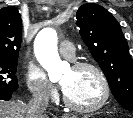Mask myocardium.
<instances>
[{
    "label": "myocardium",
    "instance_id": "obj_1",
    "mask_svg": "<svg viewBox=\"0 0 133 118\" xmlns=\"http://www.w3.org/2000/svg\"><path fill=\"white\" fill-rule=\"evenodd\" d=\"M72 68L75 70L90 69V70L94 71L97 74V76L100 80L101 86H102V96L99 99V101L93 105L78 106V105L73 104L68 99L66 94L64 93L63 102H64L65 106L69 110L76 112V113H92V112H95V111L101 109L102 107H104L110 98V85H109V81H108L104 71L98 65H96L92 62H86V61L76 62L72 65Z\"/></svg>",
    "mask_w": 133,
    "mask_h": 118
}]
</instances>
